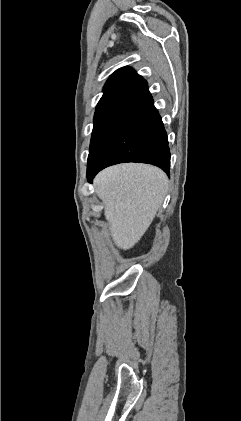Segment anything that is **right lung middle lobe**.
Here are the masks:
<instances>
[{
  "label": "right lung middle lobe",
  "mask_w": 241,
  "mask_h": 421,
  "mask_svg": "<svg viewBox=\"0 0 241 421\" xmlns=\"http://www.w3.org/2000/svg\"><path fill=\"white\" fill-rule=\"evenodd\" d=\"M132 104H122L95 112L87 169L93 167L117 134Z\"/></svg>",
  "instance_id": "obj_1"
}]
</instances>
